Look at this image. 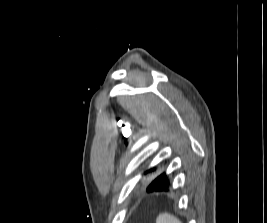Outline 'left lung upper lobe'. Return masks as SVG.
I'll return each instance as SVG.
<instances>
[{
    "label": "left lung upper lobe",
    "mask_w": 267,
    "mask_h": 223,
    "mask_svg": "<svg viewBox=\"0 0 267 223\" xmlns=\"http://www.w3.org/2000/svg\"><path fill=\"white\" fill-rule=\"evenodd\" d=\"M157 170H158V168L157 167H154V168H151L149 170H146L143 174L146 175V174L152 173V172H155L156 173Z\"/></svg>",
    "instance_id": "1"
}]
</instances>
